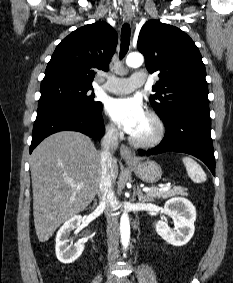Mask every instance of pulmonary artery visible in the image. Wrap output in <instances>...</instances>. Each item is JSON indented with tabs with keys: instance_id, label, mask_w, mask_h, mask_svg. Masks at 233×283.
Masks as SVG:
<instances>
[{
	"instance_id": "1",
	"label": "pulmonary artery",
	"mask_w": 233,
	"mask_h": 283,
	"mask_svg": "<svg viewBox=\"0 0 233 283\" xmlns=\"http://www.w3.org/2000/svg\"><path fill=\"white\" fill-rule=\"evenodd\" d=\"M145 76L135 72L130 78H108L104 89L113 94H128L145 84Z\"/></svg>"
}]
</instances>
